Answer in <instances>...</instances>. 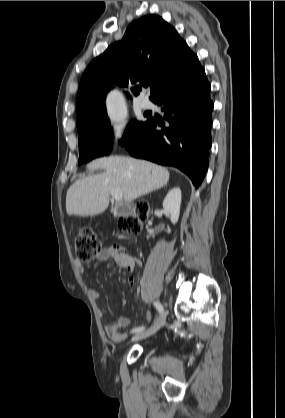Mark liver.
<instances>
[{"mask_svg": "<svg viewBox=\"0 0 285 418\" xmlns=\"http://www.w3.org/2000/svg\"><path fill=\"white\" fill-rule=\"evenodd\" d=\"M90 170L103 169L101 174L75 181L66 194L68 215L89 216L104 212L111 191L122 192L126 203L165 186L169 171L157 164L127 156H109L93 160Z\"/></svg>", "mask_w": 285, "mask_h": 418, "instance_id": "obj_1", "label": "liver"}]
</instances>
